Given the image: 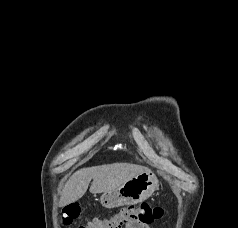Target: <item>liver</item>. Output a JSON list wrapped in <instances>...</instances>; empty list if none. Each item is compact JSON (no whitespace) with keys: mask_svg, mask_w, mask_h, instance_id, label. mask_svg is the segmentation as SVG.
Wrapping results in <instances>:
<instances>
[{"mask_svg":"<svg viewBox=\"0 0 238 228\" xmlns=\"http://www.w3.org/2000/svg\"><path fill=\"white\" fill-rule=\"evenodd\" d=\"M150 171L147 167L130 164L114 163L76 171L65 184L60 198L61 206H66L79 200L87 191L90 181L93 179L89 191L92 194L113 191L125 182Z\"/></svg>","mask_w":238,"mask_h":228,"instance_id":"1","label":"liver"}]
</instances>
